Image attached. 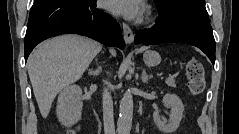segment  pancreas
I'll list each match as a JSON object with an SVG mask.
<instances>
[{"instance_id":"pancreas-1","label":"pancreas","mask_w":239,"mask_h":134,"mask_svg":"<svg viewBox=\"0 0 239 134\" xmlns=\"http://www.w3.org/2000/svg\"><path fill=\"white\" fill-rule=\"evenodd\" d=\"M165 83L167 84V86H169L171 88H175L176 87V80L174 78L166 79Z\"/></svg>"}]
</instances>
